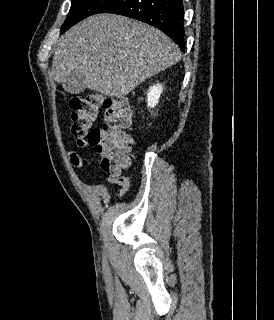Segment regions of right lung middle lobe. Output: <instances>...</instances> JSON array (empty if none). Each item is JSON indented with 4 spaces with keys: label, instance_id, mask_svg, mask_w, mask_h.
<instances>
[{
    "label": "right lung middle lobe",
    "instance_id": "right-lung-middle-lobe-1",
    "mask_svg": "<svg viewBox=\"0 0 274 320\" xmlns=\"http://www.w3.org/2000/svg\"><path fill=\"white\" fill-rule=\"evenodd\" d=\"M117 0H72L70 12L61 27V33L90 15L101 13Z\"/></svg>",
    "mask_w": 274,
    "mask_h": 320
}]
</instances>
